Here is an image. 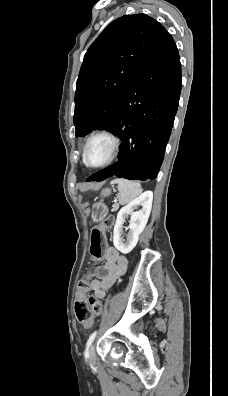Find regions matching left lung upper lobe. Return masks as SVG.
<instances>
[{
  "mask_svg": "<svg viewBox=\"0 0 228 396\" xmlns=\"http://www.w3.org/2000/svg\"><path fill=\"white\" fill-rule=\"evenodd\" d=\"M163 26L145 14L111 22L87 50L76 84V136L108 129Z\"/></svg>",
  "mask_w": 228,
  "mask_h": 396,
  "instance_id": "1",
  "label": "left lung upper lobe"
}]
</instances>
